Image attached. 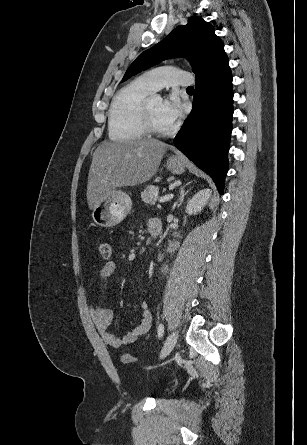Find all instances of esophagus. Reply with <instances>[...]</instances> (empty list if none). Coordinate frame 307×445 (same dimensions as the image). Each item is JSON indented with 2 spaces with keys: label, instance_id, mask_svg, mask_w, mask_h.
<instances>
[{
  "label": "esophagus",
  "instance_id": "34e87169",
  "mask_svg": "<svg viewBox=\"0 0 307 445\" xmlns=\"http://www.w3.org/2000/svg\"><path fill=\"white\" fill-rule=\"evenodd\" d=\"M173 158L176 159L177 157H176V156H173Z\"/></svg>",
  "mask_w": 307,
  "mask_h": 445
}]
</instances>
